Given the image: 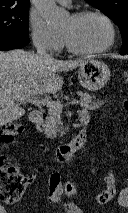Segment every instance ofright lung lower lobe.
I'll return each mask as SVG.
<instances>
[{"label":"right lung lower lobe","mask_w":128,"mask_h":213,"mask_svg":"<svg viewBox=\"0 0 128 213\" xmlns=\"http://www.w3.org/2000/svg\"><path fill=\"white\" fill-rule=\"evenodd\" d=\"M29 42L15 39H0V51L11 49H20L25 47Z\"/></svg>","instance_id":"1"}]
</instances>
